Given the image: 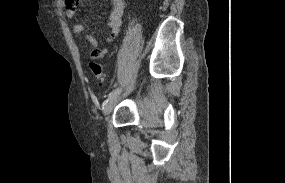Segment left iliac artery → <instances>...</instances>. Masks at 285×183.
I'll list each match as a JSON object with an SVG mask.
<instances>
[{"mask_svg":"<svg viewBox=\"0 0 285 183\" xmlns=\"http://www.w3.org/2000/svg\"><path fill=\"white\" fill-rule=\"evenodd\" d=\"M120 92H121L120 88H116V89L112 90L108 95V100L111 99L112 97L116 96Z\"/></svg>","mask_w":285,"mask_h":183,"instance_id":"44dca946","label":"left iliac artery"}]
</instances>
